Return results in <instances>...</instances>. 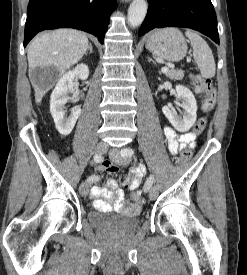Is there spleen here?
<instances>
[{"label": "spleen", "instance_id": "3e777b00", "mask_svg": "<svg viewBox=\"0 0 247 275\" xmlns=\"http://www.w3.org/2000/svg\"><path fill=\"white\" fill-rule=\"evenodd\" d=\"M185 35L188 37L193 48L194 60L204 78H212L215 75L216 65L212 50L206 41L197 33L187 30Z\"/></svg>", "mask_w": 247, "mask_h": 275}]
</instances>
